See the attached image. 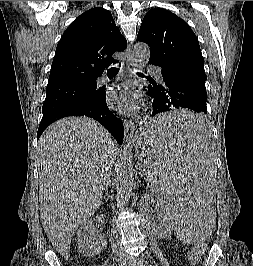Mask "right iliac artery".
Wrapping results in <instances>:
<instances>
[{
    "mask_svg": "<svg viewBox=\"0 0 253 266\" xmlns=\"http://www.w3.org/2000/svg\"><path fill=\"white\" fill-rule=\"evenodd\" d=\"M122 265H123V266H126V263L124 262L123 264H121V266H122Z\"/></svg>",
    "mask_w": 253,
    "mask_h": 266,
    "instance_id": "82829eb1",
    "label": "right iliac artery"
}]
</instances>
